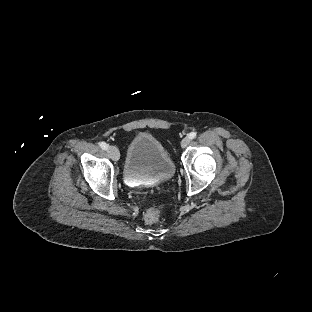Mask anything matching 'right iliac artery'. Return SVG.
Returning <instances> with one entry per match:
<instances>
[{
    "label": "right iliac artery",
    "instance_id": "right-iliac-artery-1",
    "mask_svg": "<svg viewBox=\"0 0 312 312\" xmlns=\"http://www.w3.org/2000/svg\"><path fill=\"white\" fill-rule=\"evenodd\" d=\"M99 146L103 149V150H107L108 148V144H106L105 142H100Z\"/></svg>",
    "mask_w": 312,
    "mask_h": 312
}]
</instances>
